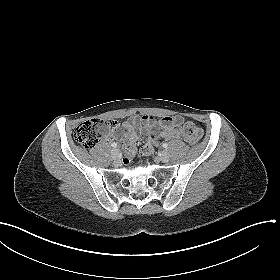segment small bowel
Wrapping results in <instances>:
<instances>
[{"instance_id": "c3829d8e", "label": "small bowel", "mask_w": 280, "mask_h": 280, "mask_svg": "<svg viewBox=\"0 0 280 280\" xmlns=\"http://www.w3.org/2000/svg\"><path fill=\"white\" fill-rule=\"evenodd\" d=\"M182 118L179 116L164 117L159 121L151 115L136 116L123 124L124 134L122 138L126 141L128 148L125 150V156L130 158L135 155L136 147L134 146L138 134L136 126L140 125L148 136L147 144L153 148L158 144L160 139H177L181 138L183 133L180 127ZM155 127H159L160 131L157 133Z\"/></svg>"}]
</instances>
